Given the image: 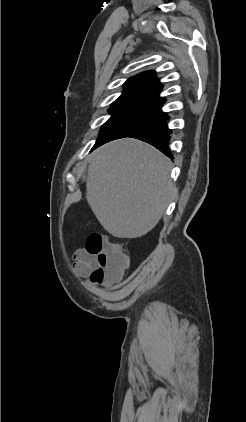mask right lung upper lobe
Instances as JSON below:
<instances>
[{
  "label": "right lung upper lobe",
  "instance_id": "obj_1",
  "mask_svg": "<svg viewBox=\"0 0 246 422\" xmlns=\"http://www.w3.org/2000/svg\"><path fill=\"white\" fill-rule=\"evenodd\" d=\"M126 89L116 99L111 108H142L161 110L166 99L159 96L162 85L155 71H145L129 78Z\"/></svg>",
  "mask_w": 246,
  "mask_h": 422
}]
</instances>
